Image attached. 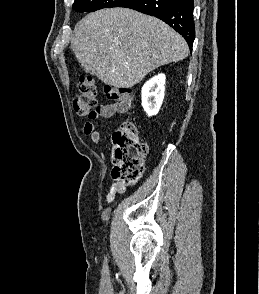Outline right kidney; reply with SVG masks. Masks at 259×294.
<instances>
[{
    "label": "right kidney",
    "mask_w": 259,
    "mask_h": 294,
    "mask_svg": "<svg viewBox=\"0 0 259 294\" xmlns=\"http://www.w3.org/2000/svg\"><path fill=\"white\" fill-rule=\"evenodd\" d=\"M165 80V75L161 73L151 78L142 87V106L148 116L159 112L164 99Z\"/></svg>",
    "instance_id": "1"
}]
</instances>
